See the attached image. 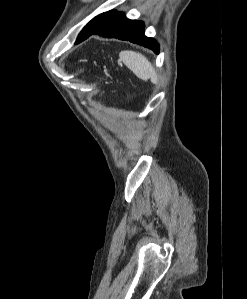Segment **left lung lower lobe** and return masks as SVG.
Segmentation results:
<instances>
[{"mask_svg": "<svg viewBox=\"0 0 247 299\" xmlns=\"http://www.w3.org/2000/svg\"><path fill=\"white\" fill-rule=\"evenodd\" d=\"M92 34L130 41L147 47L156 54L159 53L157 42L153 38H148L144 35V24L140 21L127 19L120 12H115L94 30L85 34L76 44L84 41Z\"/></svg>", "mask_w": 247, "mask_h": 299, "instance_id": "obj_1", "label": "left lung lower lobe"}]
</instances>
